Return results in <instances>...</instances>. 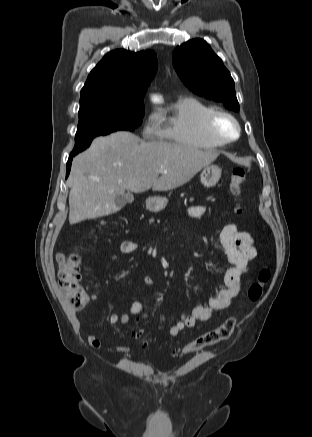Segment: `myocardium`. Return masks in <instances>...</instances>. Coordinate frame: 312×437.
Wrapping results in <instances>:
<instances>
[{"instance_id":"myocardium-1","label":"myocardium","mask_w":312,"mask_h":437,"mask_svg":"<svg viewBox=\"0 0 312 437\" xmlns=\"http://www.w3.org/2000/svg\"><path fill=\"white\" fill-rule=\"evenodd\" d=\"M221 117L229 119L234 124L235 134L233 136H225L217 130L216 121L218 118ZM204 129L209 137H211L213 140L223 145L237 140L241 133V127L237 118L230 112L223 109L211 110L205 116Z\"/></svg>"}]
</instances>
